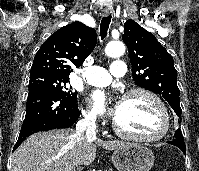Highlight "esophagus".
I'll return each mask as SVG.
<instances>
[{
	"instance_id": "esophagus-1",
	"label": "esophagus",
	"mask_w": 199,
	"mask_h": 171,
	"mask_svg": "<svg viewBox=\"0 0 199 171\" xmlns=\"http://www.w3.org/2000/svg\"><path fill=\"white\" fill-rule=\"evenodd\" d=\"M109 14H110V11H107V10L102 12L103 16H108Z\"/></svg>"
}]
</instances>
